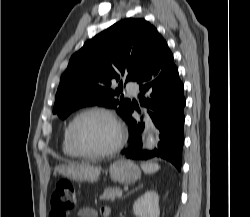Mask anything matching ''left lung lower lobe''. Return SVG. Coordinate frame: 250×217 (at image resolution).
Returning a JSON list of instances; mask_svg holds the SVG:
<instances>
[{
	"label": "left lung lower lobe",
	"instance_id": "left-lung-lower-lobe-1",
	"mask_svg": "<svg viewBox=\"0 0 250 217\" xmlns=\"http://www.w3.org/2000/svg\"><path fill=\"white\" fill-rule=\"evenodd\" d=\"M136 82L140 84V104L144 109L140 110L133 104L128 110L124 120L129 125V145L122 153L127 158L138 160L160 157L180 170L186 100L173 54L164 39L152 63ZM134 109L141 114L140 119L132 117ZM148 119L160 130V142L152 151L142 149L141 142L145 121Z\"/></svg>",
	"mask_w": 250,
	"mask_h": 217
}]
</instances>
